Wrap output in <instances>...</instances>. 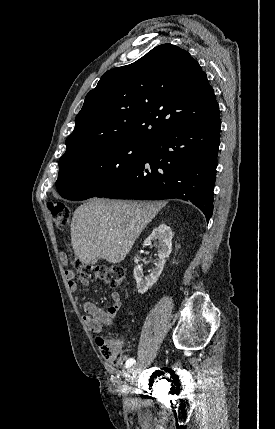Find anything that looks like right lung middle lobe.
I'll return each mask as SVG.
<instances>
[{
  "mask_svg": "<svg viewBox=\"0 0 275 429\" xmlns=\"http://www.w3.org/2000/svg\"><path fill=\"white\" fill-rule=\"evenodd\" d=\"M148 144H116L79 156L59 166V194L79 201L96 196L143 161Z\"/></svg>",
  "mask_w": 275,
  "mask_h": 429,
  "instance_id": "dd1d6c3e",
  "label": "right lung middle lobe"
}]
</instances>
